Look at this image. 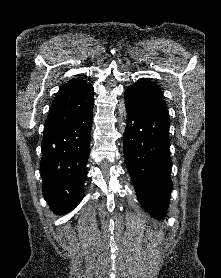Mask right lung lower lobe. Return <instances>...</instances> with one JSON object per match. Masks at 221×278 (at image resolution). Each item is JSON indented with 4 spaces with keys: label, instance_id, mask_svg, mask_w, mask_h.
I'll use <instances>...</instances> for the list:
<instances>
[{
    "label": "right lung lower lobe",
    "instance_id": "right-lung-lower-lobe-1",
    "mask_svg": "<svg viewBox=\"0 0 221 278\" xmlns=\"http://www.w3.org/2000/svg\"><path fill=\"white\" fill-rule=\"evenodd\" d=\"M92 120L93 106L82 117L43 138V196L56 214L70 212L84 196Z\"/></svg>",
    "mask_w": 221,
    "mask_h": 278
}]
</instances>
